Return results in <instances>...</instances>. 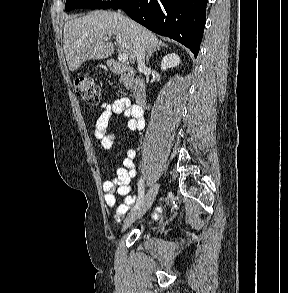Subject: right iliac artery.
I'll return each mask as SVG.
<instances>
[{
  "label": "right iliac artery",
  "instance_id": "82829eb1",
  "mask_svg": "<svg viewBox=\"0 0 288 293\" xmlns=\"http://www.w3.org/2000/svg\"><path fill=\"white\" fill-rule=\"evenodd\" d=\"M144 194H145L144 179L141 178L138 182V200H137V203L134 206L133 210H136L137 208H139V206L141 205V203L144 199Z\"/></svg>",
  "mask_w": 288,
  "mask_h": 293
}]
</instances>
